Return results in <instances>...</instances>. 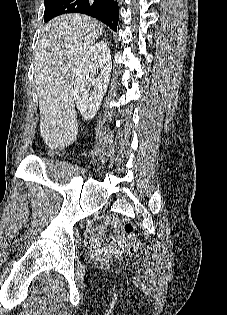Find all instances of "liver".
<instances>
[{
    "mask_svg": "<svg viewBox=\"0 0 227 315\" xmlns=\"http://www.w3.org/2000/svg\"><path fill=\"white\" fill-rule=\"evenodd\" d=\"M102 31L100 21L77 13L58 16L42 29L34 57V77L40 134L51 149L65 148L76 140L74 78L82 57Z\"/></svg>",
    "mask_w": 227,
    "mask_h": 315,
    "instance_id": "1",
    "label": "liver"
}]
</instances>
